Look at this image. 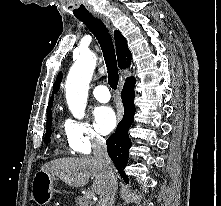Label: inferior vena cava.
Instances as JSON below:
<instances>
[{
  "instance_id": "1",
  "label": "inferior vena cava",
  "mask_w": 221,
  "mask_h": 206,
  "mask_svg": "<svg viewBox=\"0 0 221 206\" xmlns=\"http://www.w3.org/2000/svg\"><path fill=\"white\" fill-rule=\"evenodd\" d=\"M92 149L93 154L102 167L106 177L104 189L100 195V200L98 201L97 206H111L117 190L116 171L108 156L104 139L95 138L92 142Z\"/></svg>"
}]
</instances>
